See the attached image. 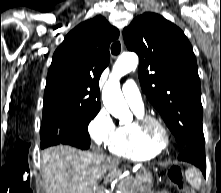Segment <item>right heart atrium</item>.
I'll use <instances>...</instances> for the list:
<instances>
[{
    "label": "right heart atrium",
    "mask_w": 221,
    "mask_h": 193,
    "mask_svg": "<svg viewBox=\"0 0 221 193\" xmlns=\"http://www.w3.org/2000/svg\"><path fill=\"white\" fill-rule=\"evenodd\" d=\"M117 125L105 109L101 108L88 125V132L96 145L108 147L117 132Z\"/></svg>",
    "instance_id": "1"
}]
</instances>
